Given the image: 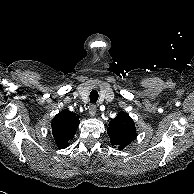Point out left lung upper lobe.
<instances>
[{
  "label": "left lung upper lobe",
  "mask_w": 194,
  "mask_h": 194,
  "mask_svg": "<svg viewBox=\"0 0 194 194\" xmlns=\"http://www.w3.org/2000/svg\"><path fill=\"white\" fill-rule=\"evenodd\" d=\"M107 131L112 145L120 150L129 145L137 136L134 121L124 112H120L110 121Z\"/></svg>",
  "instance_id": "obj_1"
}]
</instances>
